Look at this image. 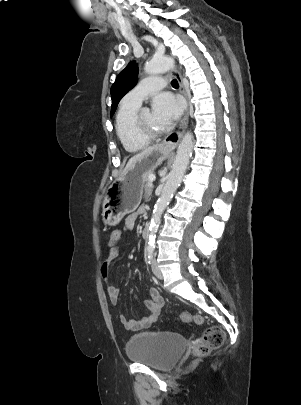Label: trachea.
<instances>
[{"instance_id":"trachea-1","label":"trachea","mask_w":301,"mask_h":405,"mask_svg":"<svg viewBox=\"0 0 301 405\" xmlns=\"http://www.w3.org/2000/svg\"><path fill=\"white\" fill-rule=\"evenodd\" d=\"M171 85H172L173 88H178L179 87L178 81L176 79L172 80Z\"/></svg>"}]
</instances>
